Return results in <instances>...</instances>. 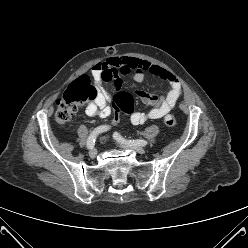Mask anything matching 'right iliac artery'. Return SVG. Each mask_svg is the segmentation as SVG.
I'll list each match as a JSON object with an SVG mask.
<instances>
[{"label": "right iliac artery", "instance_id": "82829eb1", "mask_svg": "<svg viewBox=\"0 0 248 248\" xmlns=\"http://www.w3.org/2000/svg\"><path fill=\"white\" fill-rule=\"evenodd\" d=\"M110 127L107 126V125H102V126H99L97 128H95L93 130V132L90 134V136L88 137V140H87V148L88 149H92L94 147V143H95V140H96V137L102 133V132H105L107 130H109Z\"/></svg>", "mask_w": 248, "mask_h": 248}]
</instances>
